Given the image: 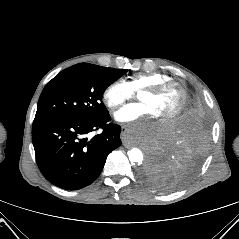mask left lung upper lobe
Instances as JSON below:
<instances>
[{
  "label": "left lung upper lobe",
  "mask_w": 239,
  "mask_h": 239,
  "mask_svg": "<svg viewBox=\"0 0 239 239\" xmlns=\"http://www.w3.org/2000/svg\"><path fill=\"white\" fill-rule=\"evenodd\" d=\"M145 179H146L150 184L156 186L154 179H152V178H145Z\"/></svg>",
  "instance_id": "5c2ea615"
}]
</instances>
